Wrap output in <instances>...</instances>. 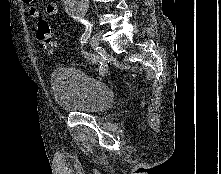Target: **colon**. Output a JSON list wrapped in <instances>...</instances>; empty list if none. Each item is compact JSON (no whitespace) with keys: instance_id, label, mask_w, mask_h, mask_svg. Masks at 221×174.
<instances>
[{"instance_id":"5ec220e1","label":"colon","mask_w":221,"mask_h":174,"mask_svg":"<svg viewBox=\"0 0 221 174\" xmlns=\"http://www.w3.org/2000/svg\"><path fill=\"white\" fill-rule=\"evenodd\" d=\"M37 40L42 48L51 51L53 47L52 31L49 23L44 19H40L37 23Z\"/></svg>"}]
</instances>
